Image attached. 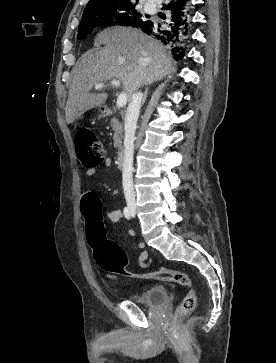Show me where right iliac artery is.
Masks as SVG:
<instances>
[{
  "label": "right iliac artery",
  "mask_w": 276,
  "mask_h": 363,
  "mask_svg": "<svg viewBox=\"0 0 276 363\" xmlns=\"http://www.w3.org/2000/svg\"><path fill=\"white\" fill-rule=\"evenodd\" d=\"M123 213H124V216L127 218V219H130L131 217V212L129 210L128 207H125L124 210H123Z\"/></svg>",
  "instance_id": "obj_1"
}]
</instances>
